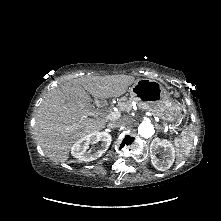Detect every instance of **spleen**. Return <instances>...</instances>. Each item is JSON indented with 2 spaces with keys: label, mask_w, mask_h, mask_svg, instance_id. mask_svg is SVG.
<instances>
[{
  "label": "spleen",
  "mask_w": 221,
  "mask_h": 221,
  "mask_svg": "<svg viewBox=\"0 0 221 221\" xmlns=\"http://www.w3.org/2000/svg\"><path fill=\"white\" fill-rule=\"evenodd\" d=\"M194 138V132L190 127L186 128L181 137L174 140L179 161L184 160L190 153Z\"/></svg>",
  "instance_id": "spleen-1"
}]
</instances>
